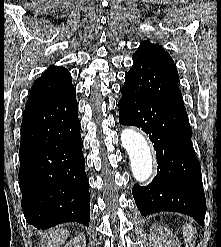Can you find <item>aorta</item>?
<instances>
[{
  "mask_svg": "<svg viewBox=\"0 0 221 247\" xmlns=\"http://www.w3.org/2000/svg\"><path fill=\"white\" fill-rule=\"evenodd\" d=\"M121 141L129 155L134 178L138 182L148 180L153 171V161L150 146L144 135L126 128L122 131Z\"/></svg>",
  "mask_w": 221,
  "mask_h": 247,
  "instance_id": "aorta-1",
  "label": "aorta"
}]
</instances>
